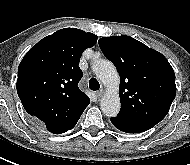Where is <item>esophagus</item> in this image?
<instances>
[{"label":"esophagus","instance_id":"esophagus-1","mask_svg":"<svg viewBox=\"0 0 190 165\" xmlns=\"http://www.w3.org/2000/svg\"><path fill=\"white\" fill-rule=\"evenodd\" d=\"M103 94H104V90L103 89H101V90H99V91L96 92V95H97L98 98L102 97Z\"/></svg>","mask_w":190,"mask_h":165}]
</instances>
